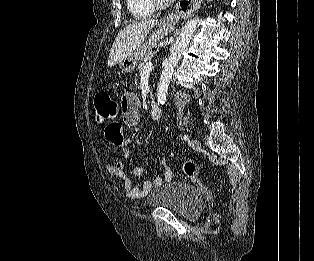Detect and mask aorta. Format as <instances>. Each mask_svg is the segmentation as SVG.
<instances>
[{"label":"aorta","mask_w":314,"mask_h":261,"mask_svg":"<svg viewBox=\"0 0 314 261\" xmlns=\"http://www.w3.org/2000/svg\"><path fill=\"white\" fill-rule=\"evenodd\" d=\"M207 1L210 2L212 0ZM198 21V17L188 21L181 29V32L177 36L176 41L172 46L170 57L164 66L157 89V99L158 103L161 105H164L166 102L168 85L172 78L174 69L181 58L183 50L187 47L194 32L196 31L198 27Z\"/></svg>","instance_id":"obj_1"}]
</instances>
